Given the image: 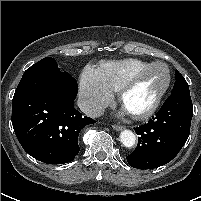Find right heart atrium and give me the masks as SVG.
<instances>
[{
  "label": "right heart atrium",
  "instance_id": "obj_1",
  "mask_svg": "<svg viewBox=\"0 0 201 201\" xmlns=\"http://www.w3.org/2000/svg\"><path fill=\"white\" fill-rule=\"evenodd\" d=\"M113 99V91L104 83L97 69L86 67L80 76V107L88 116L99 115Z\"/></svg>",
  "mask_w": 201,
  "mask_h": 201
}]
</instances>
